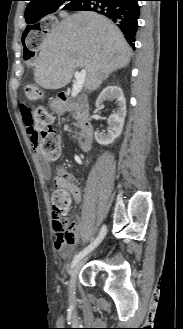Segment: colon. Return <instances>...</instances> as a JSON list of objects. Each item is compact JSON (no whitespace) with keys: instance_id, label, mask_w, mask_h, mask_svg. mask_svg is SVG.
Wrapping results in <instances>:
<instances>
[{"instance_id":"5ec220e1","label":"colon","mask_w":183,"mask_h":329,"mask_svg":"<svg viewBox=\"0 0 183 329\" xmlns=\"http://www.w3.org/2000/svg\"><path fill=\"white\" fill-rule=\"evenodd\" d=\"M64 20V14H47L46 19H37V25H26L25 31H20V44H22L23 57L27 65L35 64L36 54L39 49H43L44 39L48 38V32H52V26H56V21ZM23 112L29 114L31 109L25 107ZM52 122L51 114L42 107H37L30 114L28 120L31 139L47 163L56 162L60 155V139L52 127ZM71 202L72 193L70 189L65 183L55 180L52 191L53 216L61 221L63 228L73 240L74 228L72 223L66 219Z\"/></svg>"}]
</instances>
